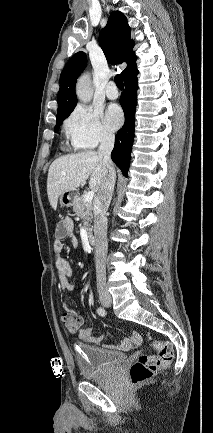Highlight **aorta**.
<instances>
[{"label": "aorta", "instance_id": "aorta-1", "mask_svg": "<svg viewBox=\"0 0 213 433\" xmlns=\"http://www.w3.org/2000/svg\"><path fill=\"white\" fill-rule=\"evenodd\" d=\"M76 94L80 101L88 103L92 99L93 89L88 74L82 75L76 85Z\"/></svg>", "mask_w": 213, "mask_h": 433}]
</instances>
